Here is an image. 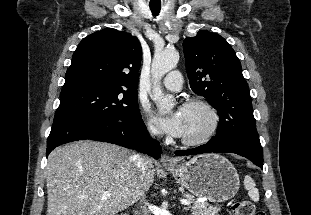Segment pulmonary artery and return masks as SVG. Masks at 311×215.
Listing matches in <instances>:
<instances>
[{
    "instance_id": "e3ab8cb5",
    "label": "pulmonary artery",
    "mask_w": 311,
    "mask_h": 215,
    "mask_svg": "<svg viewBox=\"0 0 311 215\" xmlns=\"http://www.w3.org/2000/svg\"><path fill=\"white\" fill-rule=\"evenodd\" d=\"M183 79L179 71H171L163 80V85L171 91H179L182 88Z\"/></svg>"
}]
</instances>
